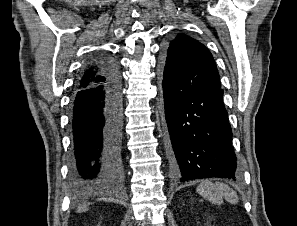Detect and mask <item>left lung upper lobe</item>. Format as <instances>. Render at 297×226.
<instances>
[{
  "label": "left lung upper lobe",
  "instance_id": "5c2ea615",
  "mask_svg": "<svg viewBox=\"0 0 297 226\" xmlns=\"http://www.w3.org/2000/svg\"><path fill=\"white\" fill-rule=\"evenodd\" d=\"M162 69L195 90L219 87V73L210 51L200 42L179 34L170 42Z\"/></svg>",
  "mask_w": 297,
  "mask_h": 226
}]
</instances>
